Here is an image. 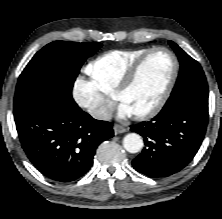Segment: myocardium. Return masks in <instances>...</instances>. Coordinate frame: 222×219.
Instances as JSON below:
<instances>
[{"label":"myocardium","mask_w":222,"mask_h":219,"mask_svg":"<svg viewBox=\"0 0 222 219\" xmlns=\"http://www.w3.org/2000/svg\"><path fill=\"white\" fill-rule=\"evenodd\" d=\"M156 52H166L170 55V57L172 58V71H171L170 77L168 79L167 85H166L162 95L158 99V101L148 110H146L142 113L134 114V117L137 120H145V119H149V118L157 115L162 110V108L164 107L166 102L168 101V99L172 93V90L174 88V85H175V82H176V79L178 76V72H179V61H178L176 54L171 49H169L167 47H161V46L154 47V48L147 50L145 53H143L141 56H139L131 64V66L127 69V71L122 76L118 86L116 87V89L113 93L114 98L118 102H120L121 96L127 90H129V88L133 85V83L138 75V72H139L142 64L144 63V61L150 55H152Z\"/></svg>","instance_id":"myocardium-1"}]
</instances>
